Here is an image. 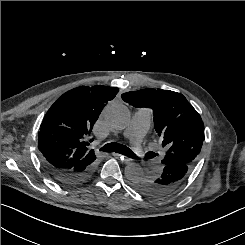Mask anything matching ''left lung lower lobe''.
<instances>
[{
  "mask_svg": "<svg viewBox=\"0 0 245 245\" xmlns=\"http://www.w3.org/2000/svg\"><path fill=\"white\" fill-rule=\"evenodd\" d=\"M192 169L191 163L163 164L156 175H143L133 182L134 188L151 198H163L175 192L184 183Z\"/></svg>",
  "mask_w": 245,
  "mask_h": 245,
  "instance_id": "1",
  "label": "left lung lower lobe"
}]
</instances>
